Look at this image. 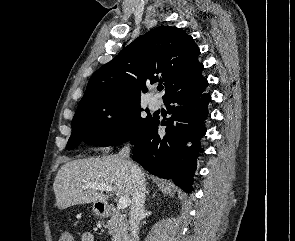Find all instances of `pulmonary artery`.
I'll return each mask as SVG.
<instances>
[{
    "instance_id": "e3ab8cb5",
    "label": "pulmonary artery",
    "mask_w": 295,
    "mask_h": 241,
    "mask_svg": "<svg viewBox=\"0 0 295 241\" xmlns=\"http://www.w3.org/2000/svg\"><path fill=\"white\" fill-rule=\"evenodd\" d=\"M159 101L156 99V98H151L150 101H149V106L150 108L152 109H156L159 107Z\"/></svg>"
}]
</instances>
